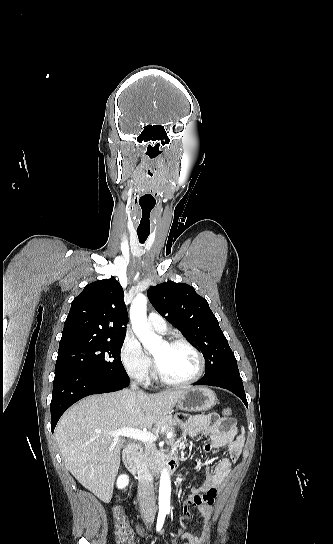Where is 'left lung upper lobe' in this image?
Returning a JSON list of instances; mask_svg holds the SVG:
<instances>
[{
	"label": "left lung upper lobe",
	"instance_id": "5c2ea615",
	"mask_svg": "<svg viewBox=\"0 0 333 544\" xmlns=\"http://www.w3.org/2000/svg\"><path fill=\"white\" fill-rule=\"evenodd\" d=\"M148 298L160 315L199 347L206 363L204 377L226 371L239 373L218 320L192 286L167 281L151 287Z\"/></svg>",
	"mask_w": 333,
	"mask_h": 544
}]
</instances>
